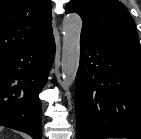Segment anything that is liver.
<instances>
[{
	"label": "liver",
	"instance_id": "obj_1",
	"mask_svg": "<svg viewBox=\"0 0 141 139\" xmlns=\"http://www.w3.org/2000/svg\"><path fill=\"white\" fill-rule=\"evenodd\" d=\"M2 129H3V128L0 126V132L2 131Z\"/></svg>",
	"mask_w": 141,
	"mask_h": 139
}]
</instances>
